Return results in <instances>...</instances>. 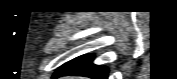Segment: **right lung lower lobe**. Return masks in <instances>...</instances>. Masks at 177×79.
<instances>
[{"mask_svg": "<svg viewBox=\"0 0 177 79\" xmlns=\"http://www.w3.org/2000/svg\"><path fill=\"white\" fill-rule=\"evenodd\" d=\"M93 55H83L61 66L54 78L63 75L87 76L93 79H107L108 69L92 64Z\"/></svg>", "mask_w": 177, "mask_h": 79, "instance_id": "98d812e1", "label": "right lung lower lobe"}]
</instances>
